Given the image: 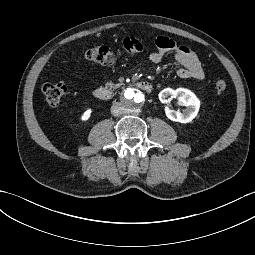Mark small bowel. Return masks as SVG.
<instances>
[{"label": "small bowel", "instance_id": "c3829d8e", "mask_svg": "<svg viewBox=\"0 0 255 255\" xmlns=\"http://www.w3.org/2000/svg\"><path fill=\"white\" fill-rule=\"evenodd\" d=\"M156 49L149 58L151 62L160 63L167 53L173 54L180 64L177 75L180 78H193L201 80L204 78V71L197 55L188 47L178 45L173 39L168 37H158L155 40Z\"/></svg>", "mask_w": 255, "mask_h": 255}]
</instances>
